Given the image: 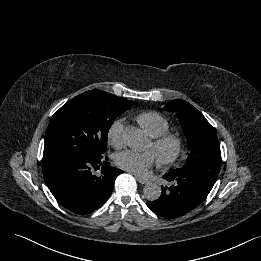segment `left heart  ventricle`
Returning <instances> with one entry per match:
<instances>
[{
	"label": "left heart ventricle",
	"mask_w": 261,
	"mask_h": 261,
	"mask_svg": "<svg viewBox=\"0 0 261 261\" xmlns=\"http://www.w3.org/2000/svg\"><path fill=\"white\" fill-rule=\"evenodd\" d=\"M147 149L151 150L155 154L157 159L159 158V153L152 148L150 143L148 144Z\"/></svg>",
	"instance_id": "b2bd125f"
}]
</instances>
